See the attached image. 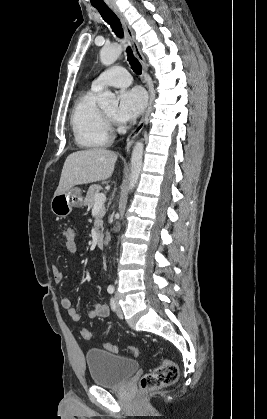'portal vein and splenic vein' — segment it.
Returning <instances> with one entry per match:
<instances>
[{"label": "portal vein and splenic vein", "instance_id": "1", "mask_svg": "<svg viewBox=\"0 0 267 419\" xmlns=\"http://www.w3.org/2000/svg\"><path fill=\"white\" fill-rule=\"evenodd\" d=\"M106 201V196L103 193H99L95 195V206L103 205Z\"/></svg>", "mask_w": 267, "mask_h": 419}]
</instances>
